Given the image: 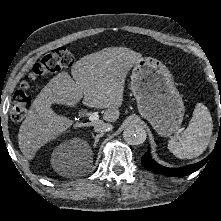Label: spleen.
Returning a JSON list of instances; mask_svg holds the SVG:
<instances>
[{"label":"spleen","mask_w":221,"mask_h":221,"mask_svg":"<svg viewBox=\"0 0 221 221\" xmlns=\"http://www.w3.org/2000/svg\"><path fill=\"white\" fill-rule=\"evenodd\" d=\"M213 130V122L208 108L197 103L187 129L181 136H175L168 142V149L180 159H192L207 148Z\"/></svg>","instance_id":"obj_1"}]
</instances>
